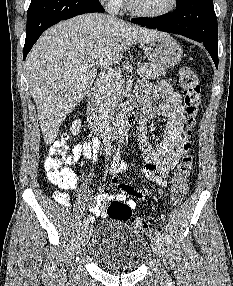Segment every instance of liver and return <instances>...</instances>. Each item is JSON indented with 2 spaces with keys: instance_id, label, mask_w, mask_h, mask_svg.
I'll list each match as a JSON object with an SVG mask.
<instances>
[{
  "instance_id": "1",
  "label": "liver",
  "mask_w": 233,
  "mask_h": 286,
  "mask_svg": "<svg viewBox=\"0 0 233 286\" xmlns=\"http://www.w3.org/2000/svg\"><path fill=\"white\" fill-rule=\"evenodd\" d=\"M165 33L99 13L76 16L48 29L26 58V77L46 144L88 93L97 68H110L133 44Z\"/></svg>"
}]
</instances>
